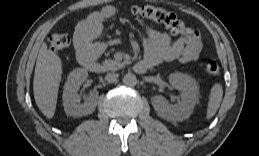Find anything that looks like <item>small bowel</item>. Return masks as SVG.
<instances>
[{"label":"small bowel","instance_id":"obj_1","mask_svg":"<svg viewBox=\"0 0 259 156\" xmlns=\"http://www.w3.org/2000/svg\"><path fill=\"white\" fill-rule=\"evenodd\" d=\"M115 13L114 6L106 5L90 13L78 23L74 34V45L79 57L89 54L96 58L104 50L105 45L94 40L101 33L103 23L112 18ZM144 30L146 36L143 40V62L149 66L162 62H192L199 59L203 48L199 30L194 29L190 39L180 37L175 41L166 31L150 26H145Z\"/></svg>","mask_w":259,"mask_h":156}]
</instances>
